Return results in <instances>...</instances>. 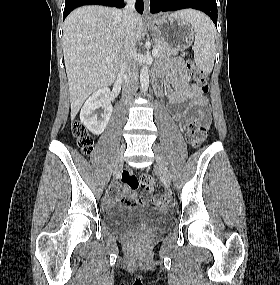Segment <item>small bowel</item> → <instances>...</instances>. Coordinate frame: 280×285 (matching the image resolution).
Segmentation results:
<instances>
[{
    "label": "small bowel",
    "instance_id": "obj_1",
    "mask_svg": "<svg viewBox=\"0 0 280 285\" xmlns=\"http://www.w3.org/2000/svg\"><path fill=\"white\" fill-rule=\"evenodd\" d=\"M163 84L167 89L170 103L184 105L183 109L176 112L177 119H183L193 107H198L200 118L209 122L210 107L207 98L189 82L183 71H175L172 75L165 76ZM113 191L114 189H111L107 196V205H112L116 200L126 205L146 204L149 199L148 193H137L127 186L122 188L117 198L113 196Z\"/></svg>",
    "mask_w": 280,
    "mask_h": 285
}]
</instances>
